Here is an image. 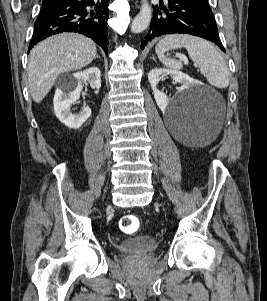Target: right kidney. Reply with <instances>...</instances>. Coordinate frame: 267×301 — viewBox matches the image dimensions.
I'll use <instances>...</instances> for the list:
<instances>
[{"label": "right kidney", "mask_w": 267, "mask_h": 301, "mask_svg": "<svg viewBox=\"0 0 267 301\" xmlns=\"http://www.w3.org/2000/svg\"><path fill=\"white\" fill-rule=\"evenodd\" d=\"M101 72L97 67H91L81 72L74 73L70 82L60 85L56 90L53 104L56 117L67 127L78 129L91 116V109L86 106L78 114H72L71 105L80 98L84 83H89L91 88L101 87Z\"/></svg>", "instance_id": "right-kidney-1"}]
</instances>
